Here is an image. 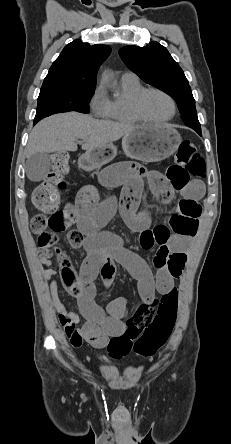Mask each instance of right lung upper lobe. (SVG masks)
I'll return each mask as SVG.
<instances>
[{
  "instance_id": "right-lung-upper-lobe-1",
  "label": "right lung upper lobe",
  "mask_w": 231,
  "mask_h": 444,
  "mask_svg": "<svg viewBox=\"0 0 231 444\" xmlns=\"http://www.w3.org/2000/svg\"><path fill=\"white\" fill-rule=\"evenodd\" d=\"M110 52L111 48L107 45L91 46L79 39L74 40L54 61L41 89L95 88L98 68Z\"/></svg>"
}]
</instances>
